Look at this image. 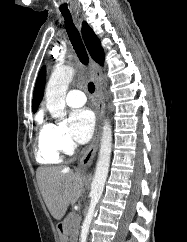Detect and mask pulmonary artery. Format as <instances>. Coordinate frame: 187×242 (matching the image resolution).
<instances>
[{
    "label": "pulmonary artery",
    "instance_id": "pulmonary-artery-1",
    "mask_svg": "<svg viewBox=\"0 0 187 242\" xmlns=\"http://www.w3.org/2000/svg\"><path fill=\"white\" fill-rule=\"evenodd\" d=\"M85 101V95L80 90H70L66 95V103L71 107H80Z\"/></svg>",
    "mask_w": 187,
    "mask_h": 242
}]
</instances>
